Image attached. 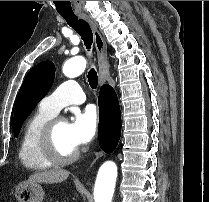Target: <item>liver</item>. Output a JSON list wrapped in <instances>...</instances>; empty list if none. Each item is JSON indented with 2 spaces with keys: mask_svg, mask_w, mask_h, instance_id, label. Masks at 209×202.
Here are the masks:
<instances>
[{
  "mask_svg": "<svg viewBox=\"0 0 209 202\" xmlns=\"http://www.w3.org/2000/svg\"><path fill=\"white\" fill-rule=\"evenodd\" d=\"M70 172L64 169H54L49 171L37 172L28 178V182L37 183H61L65 181Z\"/></svg>",
  "mask_w": 209,
  "mask_h": 202,
  "instance_id": "liver-1",
  "label": "liver"
}]
</instances>
